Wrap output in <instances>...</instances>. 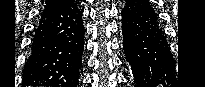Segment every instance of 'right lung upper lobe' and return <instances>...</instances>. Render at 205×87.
Wrapping results in <instances>:
<instances>
[{
  "label": "right lung upper lobe",
  "mask_w": 205,
  "mask_h": 87,
  "mask_svg": "<svg viewBox=\"0 0 205 87\" xmlns=\"http://www.w3.org/2000/svg\"><path fill=\"white\" fill-rule=\"evenodd\" d=\"M63 0H50L46 3L45 8H49L51 6L57 5L61 3Z\"/></svg>",
  "instance_id": "obj_1"
}]
</instances>
